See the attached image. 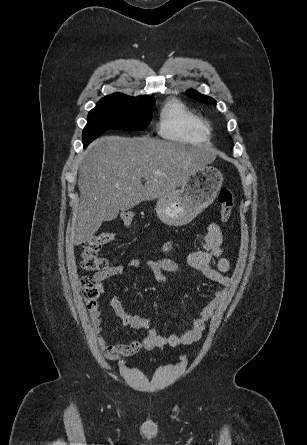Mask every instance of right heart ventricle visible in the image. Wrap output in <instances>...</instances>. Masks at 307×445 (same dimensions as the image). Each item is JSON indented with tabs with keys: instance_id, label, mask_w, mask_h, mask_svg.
Wrapping results in <instances>:
<instances>
[{
	"instance_id": "e07e8e85",
	"label": "right heart ventricle",
	"mask_w": 307,
	"mask_h": 445,
	"mask_svg": "<svg viewBox=\"0 0 307 445\" xmlns=\"http://www.w3.org/2000/svg\"><path fill=\"white\" fill-rule=\"evenodd\" d=\"M159 135L173 140L208 141L210 128L206 122L184 104L168 100L160 115Z\"/></svg>"
}]
</instances>
